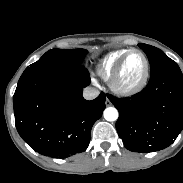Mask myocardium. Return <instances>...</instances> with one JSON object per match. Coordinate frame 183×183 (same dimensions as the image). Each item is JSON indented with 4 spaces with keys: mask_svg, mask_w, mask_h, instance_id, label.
I'll use <instances>...</instances> for the list:
<instances>
[{
    "mask_svg": "<svg viewBox=\"0 0 183 183\" xmlns=\"http://www.w3.org/2000/svg\"><path fill=\"white\" fill-rule=\"evenodd\" d=\"M132 53H137L139 54L144 62V68L141 77L139 80L132 84V85H124L121 80V73L124 67V64ZM149 72H150V67H149V61L145 53L139 49L132 48L129 49L123 57L119 60L117 63L116 67L114 68L110 78H109V85L112 91L120 96H132L140 92L147 84L148 78H149Z\"/></svg>",
    "mask_w": 183,
    "mask_h": 183,
    "instance_id": "obj_1",
    "label": "myocardium"
}]
</instances>
